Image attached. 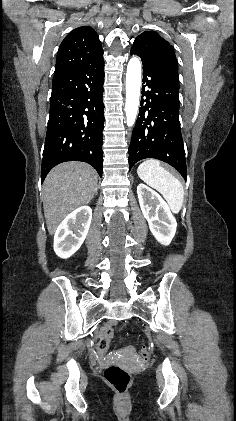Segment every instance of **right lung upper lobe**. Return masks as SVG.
I'll list each match as a JSON object with an SVG mask.
<instances>
[{"instance_id": "right-lung-upper-lobe-1", "label": "right lung upper lobe", "mask_w": 236, "mask_h": 421, "mask_svg": "<svg viewBox=\"0 0 236 421\" xmlns=\"http://www.w3.org/2000/svg\"><path fill=\"white\" fill-rule=\"evenodd\" d=\"M103 59V48L97 33L89 26L72 30L62 41L55 66L60 74Z\"/></svg>"}]
</instances>
